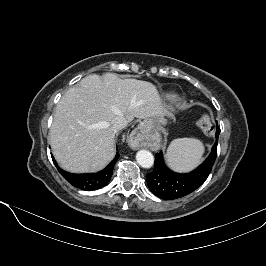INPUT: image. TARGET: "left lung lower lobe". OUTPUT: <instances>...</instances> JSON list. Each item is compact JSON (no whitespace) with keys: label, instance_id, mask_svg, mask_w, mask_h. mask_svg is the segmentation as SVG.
Here are the masks:
<instances>
[{"label":"left lung lower lobe","instance_id":"left-lung-lower-lobe-1","mask_svg":"<svg viewBox=\"0 0 266 266\" xmlns=\"http://www.w3.org/2000/svg\"><path fill=\"white\" fill-rule=\"evenodd\" d=\"M219 133L220 129L217 126L216 141L210 155L199 167L187 174L171 171L164 163L162 152L157 153L154 169L147 174V184L151 192L164 200H173L184 197L201 186L215 162Z\"/></svg>","mask_w":266,"mask_h":266}]
</instances>
